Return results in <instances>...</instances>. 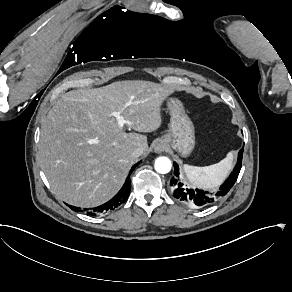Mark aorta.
<instances>
[{"instance_id": "762f6f07", "label": "aorta", "mask_w": 292, "mask_h": 292, "mask_svg": "<svg viewBox=\"0 0 292 292\" xmlns=\"http://www.w3.org/2000/svg\"><path fill=\"white\" fill-rule=\"evenodd\" d=\"M172 168V163L167 157H159L155 162V170L160 174H167Z\"/></svg>"}]
</instances>
